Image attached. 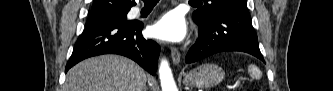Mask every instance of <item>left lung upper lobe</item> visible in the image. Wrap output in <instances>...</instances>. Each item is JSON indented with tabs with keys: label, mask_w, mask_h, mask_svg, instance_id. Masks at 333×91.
<instances>
[{
	"label": "left lung upper lobe",
	"mask_w": 333,
	"mask_h": 91,
	"mask_svg": "<svg viewBox=\"0 0 333 91\" xmlns=\"http://www.w3.org/2000/svg\"><path fill=\"white\" fill-rule=\"evenodd\" d=\"M198 8L193 13V19L196 24L202 23L210 19L217 11L226 8L246 7V0H204L198 1Z\"/></svg>",
	"instance_id": "1"
}]
</instances>
